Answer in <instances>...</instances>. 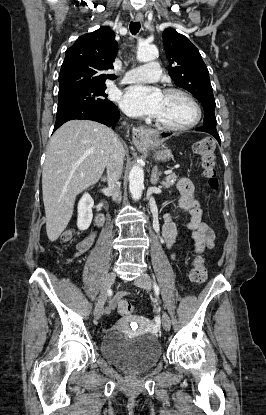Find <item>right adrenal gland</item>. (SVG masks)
<instances>
[{
  "label": "right adrenal gland",
  "mask_w": 266,
  "mask_h": 415,
  "mask_svg": "<svg viewBox=\"0 0 266 415\" xmlns=\"http://www.w3.org/2000/svg\"><path fill=\"white\" fill-rule=\"evenodd\" d=\"M101 180H102L103 182H105V181L107 180V178H106L105 176H103V177H101Z\"/></svg>",
  "instance_id": "obj_1"
}]
</instances>
